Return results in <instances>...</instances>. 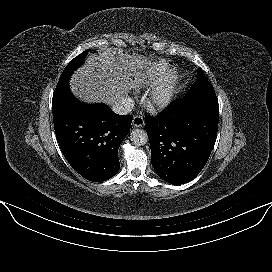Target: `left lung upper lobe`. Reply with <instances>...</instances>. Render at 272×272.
Instances as JSON below:
<instances>
[{
    "label": "left lung upper lobe",
    "instance_id": "5c2ea615",
    "mask_svg": "<svg viewBox=\"0 0 272 272\" xmlns=\"http://www.w3.org/2000/svg\"><path fill=\"white\" fill-rule=\"evenodd\" d=\"M215 93L213 86L207 80L203 71L199 68L197 72V80L189 89L185 97H195L202 94Z\"/></svg>",
    "mask_w": 272,
    "mask_h": 272
}]
</instances>
